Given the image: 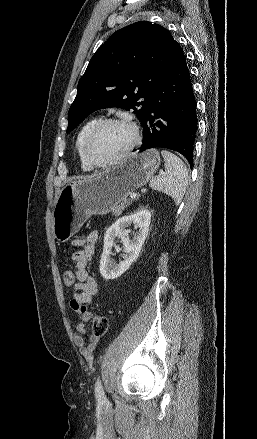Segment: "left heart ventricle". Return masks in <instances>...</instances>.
Instances as JSON below:
<instances>
[{"label":"left heart ventricle","mask_w":257,"mask_h":439,"mask_svg":"<svg viewBox=\"0 0 257 439\" xmlns=\"http://www.w3.org/2000/svg\"><path fill=\"white\" fill-rule=\"evenodd\" d=\"M132 131L123 125H107L94 138L91 144L92 156L100 162L113 159L131 142Z\"/></svg>","instance_id":"obj_1"}]
</instances>
